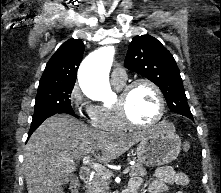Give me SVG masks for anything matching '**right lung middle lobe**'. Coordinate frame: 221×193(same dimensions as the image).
Returning <instances> with one entry per match:
<instances>
[{
    "instance_id": "1",
    "label": "right lung middle lobe",
    "mask_w": 221,
    "mask_h": 193,
    "mask_svg": "<svg viewBox=\"0 0 221 193\" xmlns=\"http://www.w3.org/2000/svg\"><path fill=\"white\" fill-rule=\"evenodd\" d=\"M73 87L74 85L39 87L34 106L33 120L55 113L75 114L69 99Z\"/></svg>"
}]
</instances>
